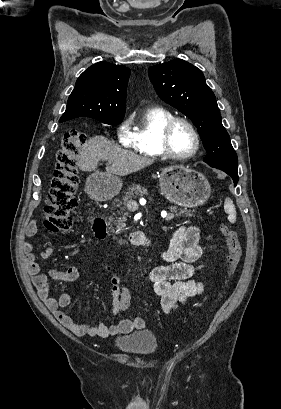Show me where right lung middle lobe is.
Segmentation results:
<instances>
[{"label": "right lung middle lobe", "instance_id": "1", "mask_svg": "<svg viewBox=\"0 0 281 409\" xmlns=\"http://www.w3.org/2000/svg\"><path fill=\"white\" fill-rule=\"evenodd\" d=\"M100 122L110 125H118L122 122L123 119H98Z\"/></svg>", "mask_w": 281, "mask_h": 409}]
</instances>
